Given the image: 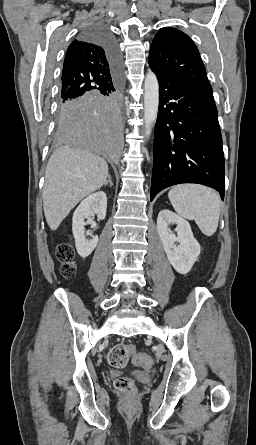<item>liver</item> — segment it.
I'll list each match as a JSON object with an SVG mask.
<instances>
[{"label":"liver","mask_w":256,"mask_h":445,"mask_svg":"<svg viewBox=\"0 0 256 445\" xmlns=\"http://www.w3.org/2000/svg\"><path fill=\"white\" fill-rule=\"evenodd\" d=\"M108 177V164L101 157H91L68 146L51 155L43 188V209L48 226L56 230L77 203L100 189Z\"/></svg>","instance_id":"1"}]
</instances>
